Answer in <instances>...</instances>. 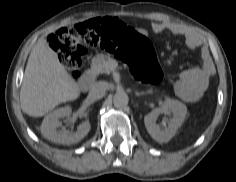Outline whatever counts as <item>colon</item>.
Returning a JSON list of instances; mask_svg holds the SVG:
<instances>
[{"instance_id": "obj_1", "label": "colon", "mask_w": 236, "mask_h": 182, "mask_svg": "<svg viewBox=\"0 0 236 182\" xmlns=\"http://www.w3.org/2000/svg\"><path fill=\"white\" fill-rule=\"evenodd\" d=\"M63 66L78 78L83 57L93 47L114 52L144 83L160 81L162 71L150 41L116 18L91 20L71 28H60L49 37Z\"/></svg>"}]
</instances>
